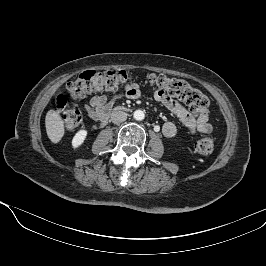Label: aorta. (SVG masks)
<instances>
[{"label": "aorta", "mask_w": 266, "mask_h": 266, "mask_svg": "<svg viewBox=\"0 0 266 266\" xmlns=\"http://www.w3.org/2000/svg\"><path fill=\"white\" fill-rule=\"evenodd\" d=\"M133 117L137 121H142L145 117V114L142 110H135L133 113Z\"/></svg>", "instance_id": "obj_1"}]
</instances>
